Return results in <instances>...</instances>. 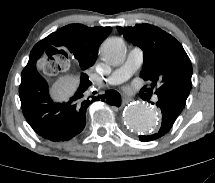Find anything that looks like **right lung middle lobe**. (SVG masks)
<instances>
[{"label":"right lung middle lobe","instance_id":"right-lung-middle-lobe-1","mask_svg":"<svg viewBox=\"0 0 215 183\" xmlns=\"http://www.w3.org/2000/svg\"><path fill=\"white\" fill-rule=\"evenodd\" d=\"M51 35L52 34H50L47 37V39L49 40L54 39L53 37H51ZM65 47H67L69 52L73 54L74 58L78 60L79 66L81 67L82 70H86L87 68L91 67L94 64L96 59H93L87 56V54L83 51V49L77 44L70 43V44H67ZM61 53L67 57L66 52L62 51Z\"/></svg>","mask_w":215,"mask_h":183}]
</instances>
